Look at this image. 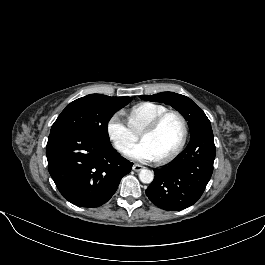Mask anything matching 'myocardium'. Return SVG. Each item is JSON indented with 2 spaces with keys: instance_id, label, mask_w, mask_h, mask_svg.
I'll return each instance as SVG.
<instances>
[{
  "instance_id": "f54148a6",
  "label": "myocardium",
  "mask_w": 265,
  "mask_h": 265,
  "mask_svg": "<svg viewBox=\"0 0 265 265\" xmlns=\"http://www.w3.org/2000/svg\"><path fill=\"white\" fill-rule=\"evenodd\" d=\"M171 115H175L181 120L182 127H183V135H182V138H181L179 144L173 150H171L170 152H168L162 156L155 158V161H157V162H163V161H166V160H169V159L175 157L185 147L187 140H188V136H189V124H188L186 117L181 112H179L177 110H168V111L162 113L161 115H159L158 117H156L154 120H152L150 123H148L140 131V137L144 133L154 132L161 125V123L168 116H171Z\"/></svg>"
}]
</instances>
